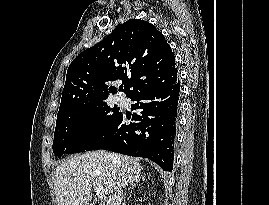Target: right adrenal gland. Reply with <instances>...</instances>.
<instances>
[{
    "label": "right adrenal gland",
    "mask_w": 269,
    "mask_h": 205,
    "mask_svg": "<svg viewBox=\"0 0 269 205\" xmlns=\"http://www.w3.org/2000/svg\"><path fill=\"white\" fill-rule=\"evenodd\" d=\"M141 180H145L144 176L142 175L141 177H139L134 183H132L130 185V187L128 188V191L134 189L136 187V185L141 181Z\"/></svg>",
    "instance_id": "2a0ac1e0"
}]
</instances>
